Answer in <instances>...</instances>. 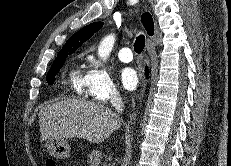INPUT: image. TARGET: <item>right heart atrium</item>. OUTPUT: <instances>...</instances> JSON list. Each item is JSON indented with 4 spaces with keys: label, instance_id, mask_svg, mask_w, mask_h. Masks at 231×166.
<instances>
[{
    "label": "right heart atrium",
    "instance_id": "1",
    "mask_svg": "<svg viewBox=\"0 0 231 166\" xmlns=\"http://www.w3.org/2000/svg\"><path fill=\"white\" fill-rule=\"evenodd\" d=\"M89 68L85 74V91L93 100L104 102L120 98V93L106 67L93 56L88 57Z\"/></svg>",
    "mask_w": 231,
    "mask_h": 166
}]
</instances>
